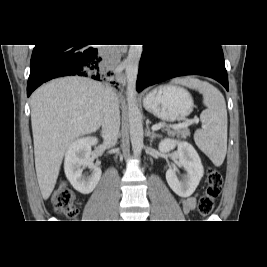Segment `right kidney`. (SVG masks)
<instances>
[{"mask_svg": "<svg viewBox=\"0 0 267 267\" xmlns=\"http://www.w3.org/2000/svg\"><path fill=\"white\" fill-rule=\"evenodd\" d=\"M97 143L95 137L77 139L68 147L65 154V175L74 189L82 194L91 193L101 178V169L94 165L90 158L91 147ZM85 167L92 171L91 175L82 174Z\"/></svg>", "mask_w": 267, "mask_h": 267, "instance_id": "ca27d5eb", "label": "right kidney"}]
</instances>
